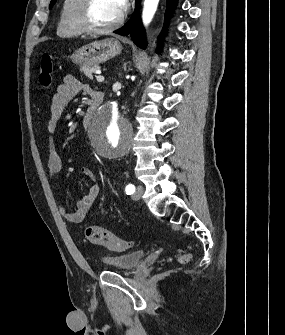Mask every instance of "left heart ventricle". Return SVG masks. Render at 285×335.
<instances>
[{
    "label": "left heart ventricle",
    "mask_w": 285,
    "mask_h": 335,
    "mask_svg": "<svg viewBox=\"0 0 285 335\" xmlns=\"http://www.w3.org/2000/svg\"><path fill=\"white\" fill-rule=\"evenodd\" d=\"M122 1H93L91 21L98 28L113 24L120 15Z\"/></svg>",
    "instance_id": "obj_1"
}]
</instances>
